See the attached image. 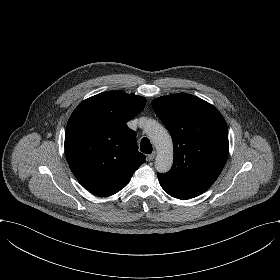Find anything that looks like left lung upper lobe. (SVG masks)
Segmentation results:
<instances>
[{
  "instance_id": "left-lung-upper-lobe-1",
  "label": "left lung upper lobe",
  "mask_w": 280,
  "mask_h": 280,
  "mask_svg": "<svg viewBox=\"0 0 280 280\" xmlns=\"http://www.w3.org/2000/svg\"><path fill=\"white\" fill-rule=\"evenodd\" d=\"M171 134L172 168L158 173L162 188L178 199L194 198L218 178L228 156V129L221 113L208 102L186 93L152 102Z\"/></svg>"
}]
</instances>
